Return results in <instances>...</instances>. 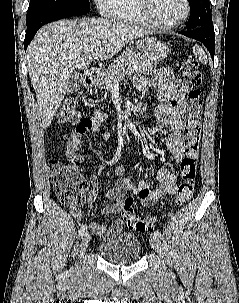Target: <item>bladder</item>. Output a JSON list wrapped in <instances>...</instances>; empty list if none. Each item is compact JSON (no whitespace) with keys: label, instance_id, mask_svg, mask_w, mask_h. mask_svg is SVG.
Listing matches in <instances>:
<instances>
[{"label":"bladder","instance_id":"31cf9c89","mask_svg":"<svg viewBox=\"0 0 239 303\" xmlns=\"http://www.w3.org/2000/svg\"><path fill=\"white\" fill-rule=\"evenodd\" d=\"M99 252L108 261L128 264L139 260L142 245L138 237L129 233H119L113 239L101 243Z\"/></svg>","mask_w":239,"mask_h":303}]
</instances>
